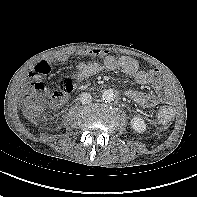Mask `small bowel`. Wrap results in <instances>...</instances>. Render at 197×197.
<instances>
[{
    "label": "small bowel",
    "mask_w": 197,
    "mask_h": 197,
    "mask_svg": "<svg viewBox=\"0 0 197 197\" xmlns=\"http://www.w3.org/2000/svg\"><path fill=\"white\" fill-rule=\"evenodd\" d=\"M78 55L83 57L102 58L105 68L108 70H121L127 75L135 79L139 84H151L156 92L147 93L139 90L130 89L126 91V95L144 107H153L159 102H172L174 98L173 90L168 85L158 70H142L138 63L131 57L116 56L106 54L102 50H81ZM69 56L62 54L56 57L59 63H65ZM52 60H44L38 63L31 71L30 76L33 78L46 76L51 72ZM101 65L96 62H81L77 66L76 80L89 78L97 74L101 70Z\"/></svg>",
    "instance_id": "small-bowel-1"
}]
</instances>
